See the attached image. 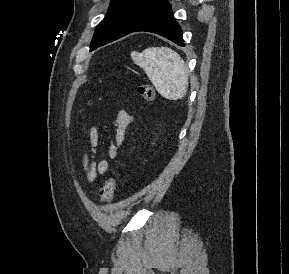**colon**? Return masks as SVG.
<instances>
[{
  "label": "colon",
  "mask_w": 289,
  "mask_h": 274,
  "mask_svg": "<svg viewBox=\"0 0 289 274\" xmlns=\"http://www.w3.org/2000/svg\"><path fill=\"white\" fill-rule=\"evenodd\" d=\"M138 93L148 103L155 100V91L152 86L148 84H140L138 86ZM116 189V177L112 174L104 183L99 191L100 201L102 203H108L114 195Z\"/></svg>",
  "instance_id": "1"
}]
</instances>
